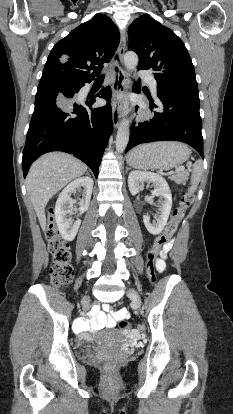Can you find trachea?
Returning <instances> with one entry per match:
<instances>
[{"label": "trachea", "mask_w": 233, "mask_h": 414, "mask_svg": "<svg viewBox=\"0 0 233 414\" xmlns=\"http://www.w3.org/2000/svg\"><path fill=\"white\" fill-rule=\"evenodd\" d=\"M104 77H105V75L103 74V75L99 76L98 79H104Z\"/></svg>", "instance_id": "trachea-1"}]
</instances>
